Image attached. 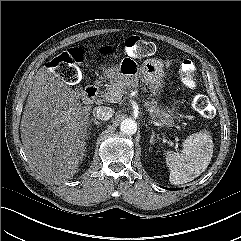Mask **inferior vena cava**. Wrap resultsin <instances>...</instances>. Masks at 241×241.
<instances>
[{
	"instance_id": "602c4592",
	"label": "inferior vena cava",
	"mask_w": 241,
	"mask_h": 241,
	"mask_svg": "<svg viewBox=\"0 0 241 241\" xmlns=\"http://www.w3.org/2000/svg\"><path fill=\"white\" fill-rule=\"evenodd\" d=\"M114 113V109L107 106H98L93 109V116L102 121L109 120L114 115Z\"/></svg>"
}]
</instances>
